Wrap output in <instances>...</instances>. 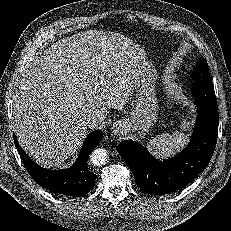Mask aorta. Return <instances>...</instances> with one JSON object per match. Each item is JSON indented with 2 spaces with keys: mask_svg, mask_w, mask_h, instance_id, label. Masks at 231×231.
Wrapping results in <instances>:
<instances>
[{
  "mask_svg": "<svg viewBox=\"0 0 231 231\" xmlns=\"http://www.w3.org/2000/svg\"><path fill=\"white\" fill-rule=\"evenodd\" d=\"M108 159V152L105 149L97 148L90 155V162L95 166H102Z\"/></svg>",
  "mask_w": 231,
  "mask_h": 231,
  "instance_id": "762f6f07",
  "label": "aorta"
}]
</instances>
